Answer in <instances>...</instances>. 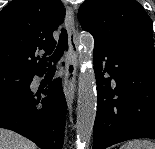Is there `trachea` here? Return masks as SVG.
I'll return each mask as SVG.
<instances>
[{
    "mask_svg": "<svg viewBox=\"0 0 155 149\" xmlns=\"http://www.w3.org/2000/svg\"><path fill=\"white\" fill-rule=\"evenodd\" d=\"M68 49V43H67V32L65 29H61V34L58 42V46L53 53V55L50 57V60L56 63L63 55L64 51ZM56 69L55 66L49 67V70L54 71Z\"/></svg>",
    "mask_w": 155,
    "mask_h": 149,
    "instance_id": "trachea-1",
    "label": "trachea"
}]
</instances>
